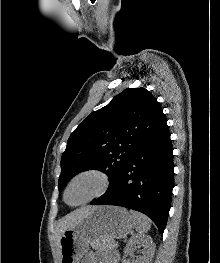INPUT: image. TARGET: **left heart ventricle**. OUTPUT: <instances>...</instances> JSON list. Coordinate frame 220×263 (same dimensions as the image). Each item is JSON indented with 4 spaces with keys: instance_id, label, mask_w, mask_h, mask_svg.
<instances>
[{
    "instance_id": "1",
    "label": "left heart ventricle",
    "mask_w": 220,
    "mask_h": 263,
    "mask_svg": "<svg viewBox=\"0 0 220 263\" xmlns=\"http://www.w3.org/2000/svg\"><path fill=\"white\" fill-rule=\"evenodd\" d=\"M97 187V179L93 177L81 178L71 187L67 199L70 203L77 202L92 194L97 189Z\"/></svg>"
}]
</instances>
